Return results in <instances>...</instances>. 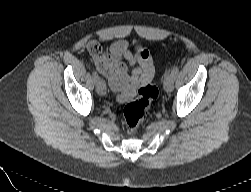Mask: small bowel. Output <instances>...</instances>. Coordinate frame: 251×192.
I'll return each mask as SVG.
<instances>
[{"instance_id": "c3829d8e", "label": "small bowel", "mask_w": 251, "mask_h": 192, "mask_svg": "<svg viewBox=\"0 0 251 192\" xmlns=\"http://www.w3.org/2000/svg\"><path fill=\"white\" fill-rule=\"evenodd\" d=\"M88 52L96 70L107 79L120 100L131 98L136 88L149 83L153 78L152 58L143 47H138L133 53L126 41L117 40L108 50H104L97 41H91ZM126 63L134 67L131 72Z\"/></svg>"}]
</instances>
